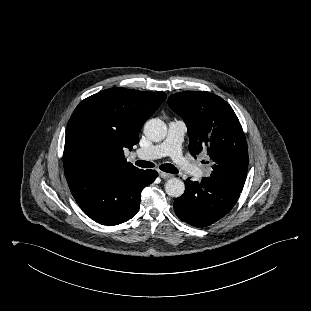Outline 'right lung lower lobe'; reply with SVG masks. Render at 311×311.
<instances>
[{
	"mask_svg": "<svg viewBox=\"0 0 311 311\" xmlns=\"http://www.w3.org/2000/svg\"><path fill=\"white\" fill-rule=\"evenodd\" d=\"M157 176L155 170L124 172L99 167L66 179L80 208L97 223L113 226L128 221L138 212L142 189Z\"/></svg>",
	"mask_w": 311,
	"mask_h": 311,
	"instance_id": "98d812e1",
	"label": "right lung lower lobe"
}]
</instances>
